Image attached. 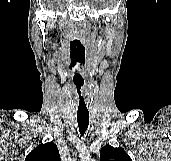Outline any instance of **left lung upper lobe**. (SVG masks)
<instances>
[{
  "mask_svg": "<svg viewBox=\"0 0 171 161\" xmlns=\"http://www.w3.org/2000/svg\"><path fill=\"white\" fill-rule=\"evenodd\" d=\"M100 159L101 161H132L122 148H114L110 145L101 149Z\"/></svg>",
  "mask_w": 171,
  "mask_h": 161,
  "instance_id": "left-lung-upper-lobe-1",
  "label": "left lung upper lobe"
}]
</instances>
